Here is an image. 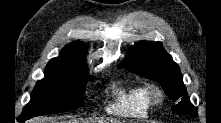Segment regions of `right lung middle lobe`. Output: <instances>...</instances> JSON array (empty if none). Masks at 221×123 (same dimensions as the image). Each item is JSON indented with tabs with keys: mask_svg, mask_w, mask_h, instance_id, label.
<instances>
[{
	"mask_svg": "<svg viewBox=\"0 0 221 123\" xmlns=\"http://www.w3.org/2000/svg\"><path fill=\"white\" fill-rule=\"evenodd\" d=\"M88 70L70 65H47L45 78L37 82L31 101L22 115L31 118L46 113L66 112L83 104Z\"/></svg>",
	"mask_w": 221,
	"mask_h": 123,
	"instance_id": "right-lung-middle-lobe-1",
	"label": "right lung middle lobe"
}]
</instances>
